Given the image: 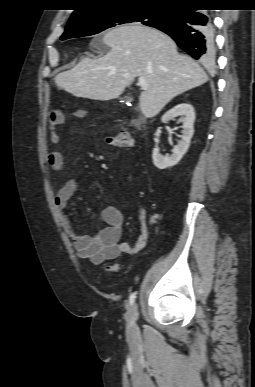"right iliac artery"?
Listing matches in <instances>:
<instances>
[{"label":"right iliac artery","instance_id":"82829eb1","mask_svg":"<svg viewBox=\"0 0 255 387\" xmlns=\"http://www.w3.org/2000/svg\"><path fill=\"white\" fill-rule=\"evenodd\" d=\"M135 298H136V293H132V294L130 295V298H129V303H130V305H133V304H134Z\"/></svg>","mask_w":255,"mask_h":387}]
</instances>
